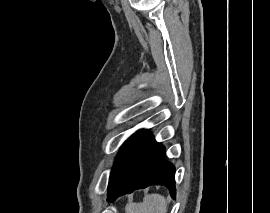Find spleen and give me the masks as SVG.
Returning a JSON list of instances; mask_svg holds the SVG:
<instances>
[{"label": "spleen", "mask_w": 270, "mask_h": 213, "mask_svg": "<svg viewBox=\"0 0 270 213\" xmlns=\"http://www.w3.org/2000/svg\"><path fill=\"white\" fill-rule=\"evenodd\" d=\"M166 199L160 194H149L142 203H131L126 206V213H166Z\"/></svg>", "instance_id": "1"}]
</instances>
